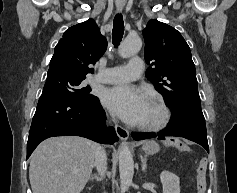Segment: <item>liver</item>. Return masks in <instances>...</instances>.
Segmentation results:
<instances>
[{
	"mask_svg": "<svg viewBox=\"0 0 237 193\" xmlns=\"http://www.w3.org/2000/svg\"><path fill=\"white\" fill-rule=\"evenodd\" d=\"M97 146L77 136L44 140L30 159L33 193H80L92 174Z\"/></svg>",
	"mask_w": 237,
	"mask_h": 193,
	"instance_id": "obj_1",
	"label": "liver"
}]
</instances>
